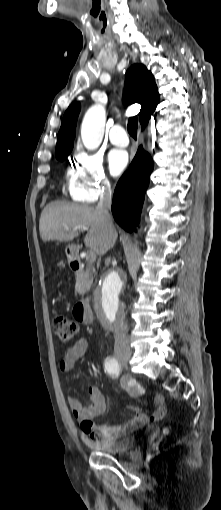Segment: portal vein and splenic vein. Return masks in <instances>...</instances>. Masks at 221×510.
<instances>
[{"label": "portal vein and splenic vein", "mask_w": 221, "mask_h": 510, "mask_svg": "<svg viewBox=\"0 0 221 510\" xmlns=\"http://www.w3.org/2000/svg\"><path fill=\"white\" fill-rule=\"evenodd\" d=\"M80 229L86 230V227H79ZM86 260L89 263H93L96 260V254L93 251H87Z\"/></svg>", "instance_id": "portal-vein-and-splenic-vein-1"}]
</instances>
